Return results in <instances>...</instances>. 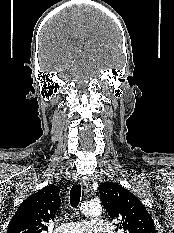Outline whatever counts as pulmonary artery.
<instances>
[{
  "instance_id": "pulmonary-artery-1",
  "label": "pulmonary artery",
  "mask_w": 174,
  "mask_h": 233,
  "mask_svg": "<svg viewBox=\"0 0 174 233\" xmlns=\"http://www.w3.org/2000/svg\"><path fill=\"white\" fill-rule=\"evenodd\" d=\"M54 233H109L108 223L102 219H92L88 222L77 221L62 224Z\"/></svg>"
}]
</instances>
